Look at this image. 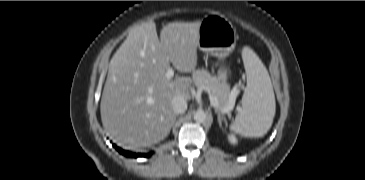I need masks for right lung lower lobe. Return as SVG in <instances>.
Here are the masks:
<instances>
[{"label":"right lung lower lobe","mask_w":365,"mask_h":180,"mask_svg":"<svg viewBox=\"0 0 365 180\" xmlns=\"http://www.w3.org/2000/svg\"><path fill=\"white\" fill-rule=\"evenodd\" d=\"M114 147L116 148V150L120 154H122V155H124L126 157H135V158H137V157H148L149 156V154L132 153V152H129V151H125V150H123V149H121L119 147H116L115 145H114Z\"/></svg>","instance_id":"obj_1"}]
</instances>
